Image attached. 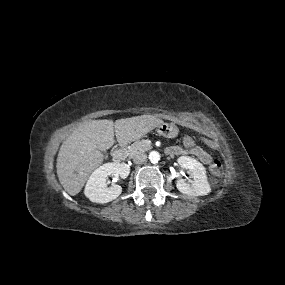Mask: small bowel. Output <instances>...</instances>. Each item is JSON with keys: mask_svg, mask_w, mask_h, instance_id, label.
<instances>
[{"mask_svg": "<svg viewBox=\"0 0 285 285\" xmlns=\"http://www.w3.org/2000/svg\"><path fill=\"white\" fill-rule=\"evenodd\" d=\"M211 143V141H209ZM167 152L170 155H181L184 153H191L196 156L203 164L208 165L211 162V156L201 147L195 146L193 149H187L184 146H172L168 148Z\"/></svg>", "mask_w": 285, "mask_h": 285, "instance_id": "small-bowel-1", "label": "small bowel"}]
</instances>
